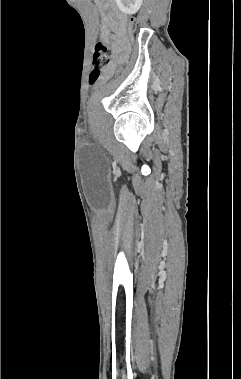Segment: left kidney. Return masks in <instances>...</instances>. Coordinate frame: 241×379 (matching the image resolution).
Returning <instances> with one entry per match:
<instances>
[{"mask_svg":"<svg viewBox=\"0 0 241 379\" xmlns=\"http://www.w3.org/2000/svg\"><path fill=\"white\" fill-rule=\"evenodd\" d=\"M143 0H116L117 6L125 14H135L141 7Z\"/></svg>","mask_w":241,"mask_h":379,"instance_id":"5707ae66","label":"left kidney"}]
</instances>
